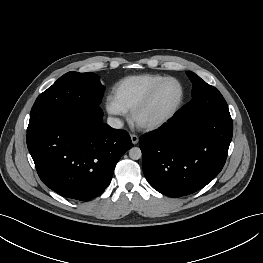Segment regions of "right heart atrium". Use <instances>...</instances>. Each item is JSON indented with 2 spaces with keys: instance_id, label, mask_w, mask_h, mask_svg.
Returning <instances> with one entry per match:
<instances>
[{
  "instance_id": "1",
  "label": "right heart atrium",
  "mask_w": 263,
  "mask_h": 263,
  "mask_svg": "<svg viewBox=\"0 0 263 263\" xmlns=\"http://www.w3.org/2000/svg\"><path fill=\"white\" fill-rule=\"evenodd\" d=\"M105 108L108 114L112 116H121L124 112H122L119 107L113 102V100L108 98L105 103Z\"/></svg>"
}]
</instances>
